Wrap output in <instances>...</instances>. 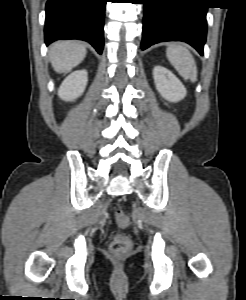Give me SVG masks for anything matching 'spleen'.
<instances>
[{"mask_svg":"<svg viewBox=\"0 0 246 300\" xmlns=\"http://www.w3.org/2000/svg\"><path fill=\"white\" fill-rule=\"evenodd\" d=\"M168 60L184 79L197 80V67L193 55L183 45L172 43L166 50Z\"/></svg>","mask_w":246,"mask_h":300,"instance_id":"3e777b00","label":"spleen"}]
</instances>
